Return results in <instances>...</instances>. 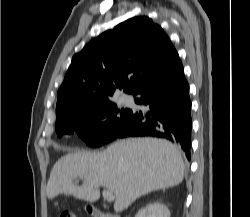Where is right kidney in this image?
Masks as SVG:
<instances>
[{"label": "right kidney", "mask_w": 250, "mask_h": 217, "mask_svg": "<svg viewBox=\"0 0 250 217\" xmlns=\"http://www.w3.org/2000/svg\"><path fill=\"white\" fill-rule=\"evenodd\" d=\"M168 207L160 202L148 204L137 212L135 217H170Z\"/></svg>", "instance_id": "right-kidney-1"}]
</instances>
